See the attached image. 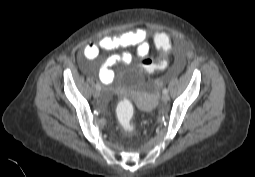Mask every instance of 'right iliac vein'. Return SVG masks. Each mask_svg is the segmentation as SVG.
Listing matches in <instances>:
<instances>
[{
	"label": "right iliac vein",
	"instance_id": "right-iliac-vein-1",
	"mask_svg": "<svg viewBox=\"0 0 255 177\" xmlns=\"http://www.w3.org/2000/svg\"><path fill=\"white\" fill-rule=\"evenodd\" d=\"M94 98H98L100 96V91L99 90H95L93 93Z\"/></svg>",
	"mask_w": 255,
	"mask_h": 177
}]
</instances>
